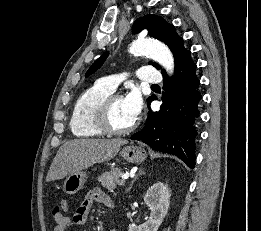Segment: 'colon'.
Segmentation results:
<instances>
[{
	"label": "colon",
	"instance_id": "5ec220e1",
	"mask_svg": "<svg viewBox=\"0 0 261 231\" xmlns=\"http://www.w3.org/2000/svg\"><path fill=\"white\" fill-rule=\"evenodd\" d=\"M62 208H63V210H67V209H68V205H67L66 203H64V204L62 205Z\"/></svg>",
	"mask_w": 261,
	"mask_h": 231
}]
</instances>
